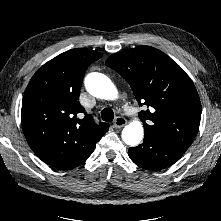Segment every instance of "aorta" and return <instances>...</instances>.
<instances>
[{"label":"aorta","instance_id":"aorta-1","mask_svg":"<svg viewBox=\"0 0 221 221\" xmlns=\"http://www.w3.org/2000/svg\"><path fill=\"white\" fill-rule=\"evenodd\" d=\"M87 91L94 97L113 100L117 97L118 91L113 82L104 74L93 72L89 73L84 80ZM144 135L141 122L132 121L122 130V139L129 146L138 145Z\"/></svg>","mask_w":221,"mask_h":221}]
</instances>
